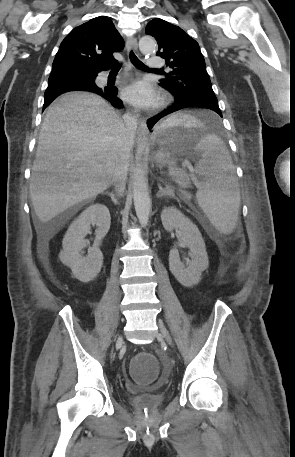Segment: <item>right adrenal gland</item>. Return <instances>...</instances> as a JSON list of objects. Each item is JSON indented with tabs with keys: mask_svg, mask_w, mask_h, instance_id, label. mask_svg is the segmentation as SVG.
Masks as SVG:
<instances>
[{
	"mask_svg": "<svg viewBox=\"0 0 295 457\" xmlns=\"http://www.w3.org/2000/svg\"><path fill=\"white\" fill-rule=\"evenodd\" d=\"M105 194H107L108 196H110L112 202L117 205L118 204V200H117V197L115 196V194L113 192H106Z\"/></svg>",
	"mask_w": 295,
	"mask_h": 457,
	"instance_id": "right-adrenal-gland-1",
	"label": "right adrenal gland"
}]
</instances>
